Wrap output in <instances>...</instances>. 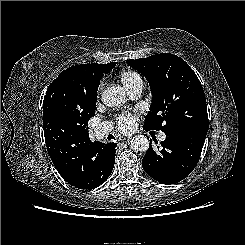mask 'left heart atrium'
I'll return each instance as SVG.
<instances>
[{"label": "left heart atrium", "instance_id": "obj_1", "mask_svg": "<svg viewBox=\"0 0 245 245\" xmlns=\"http://www.w3.org/2000/svg\"><path fill=\"white\" fill-rule=\"evenodd\" d=\"M120 130L128 131L134 125V118L130 114L122 113L116 118Z\"/></svg>", "mask_w": 245, "mask_h": 245}]
</instances>
